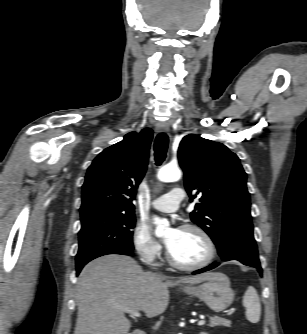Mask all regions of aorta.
I'll return each mask as SVG.
<instances>
[{
  "instance_id": "aorta-1",
  "label": "aorta",
  "mask_w": 307,
  "mask_h": 334,
  "mask_svg": "<svg viewBox=\"0 0 307 334\" xmlns=\"http://www.w3.org/2000/svg\"><path fill=\"white\" fill-rule=\"evenodd\" d=\"M181 175V171L178 167L164 166L159 170L157 177L162 182H175L181 178ZM154 224L156 225V236L162 237L167 233L169 229V222L167 219L155 217Z\"/></svg>"
}]
</instances>
